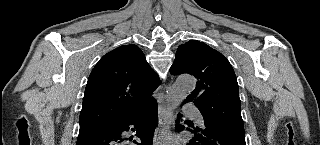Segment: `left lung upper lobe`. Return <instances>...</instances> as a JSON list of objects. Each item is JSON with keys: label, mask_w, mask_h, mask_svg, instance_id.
<instances>
[{"label": "left lung upper lobe", "mask_w": 320, "mask_h": 145, "mask_svg": "<svg viewBox=\"0 0 320 145\" xmlns=\"http://www.w3.org/2000/svg\"><path fill=\"white\" fill-rule=\"evenodd\" d=\"M172 75L189 73L197 79L195 90L187 97L204 118L205 129L227 128L244 132L237 78L229 61L203 42L189 40L178 47Z\"/></svg>", "instance_id": "1"}]
</instances>
